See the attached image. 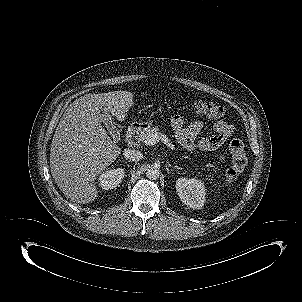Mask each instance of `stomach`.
Listing matches in <instances>:
<instances>
[{
	"instance_id": "stomach-1",
	"label": "stomach",
	"mask_w": 302,
	"mask_h": 302,
	"mask_svg": "<svg viewBox=\"0 0 302 302\" xmlns=\"http://www.w3.org/2000/svg\"><path fill=\"white\" fill-rule=\"evenodd\" d=\"M143 125H151L152 124V120L149 119L146 123H142Z\"/></svg>"
}]
</instances>
